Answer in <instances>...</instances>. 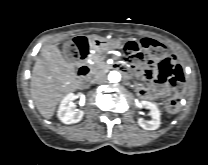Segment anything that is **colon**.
<instances>
[{
	"mask_svg": "<svg viewBox=\"0 0 208 165\" xmlns=\"http://www.w3.org/2000/svg\"><path fill=\"white\" fill-rule=\"evenodd\" d=\"M79 49L81 53L84 52V43L71 44L69 46L70 53H76ZM126 57L135 65H145L154 57L159 61L167 54L165 46L152 39H142L141 41H128L124 46ZM157 63V66H158ZM183 89V88H182ZM174 91V95L165 102V108L169 112H175L180 107V96L179 93L182 91Z\"/></svg>",
	"mask_w": 208,
	"mask_h": 165,
	"instance_id": "5ec220e1",
	"label": "colon"
}]
</instances>
